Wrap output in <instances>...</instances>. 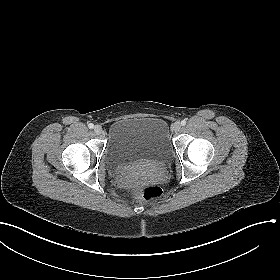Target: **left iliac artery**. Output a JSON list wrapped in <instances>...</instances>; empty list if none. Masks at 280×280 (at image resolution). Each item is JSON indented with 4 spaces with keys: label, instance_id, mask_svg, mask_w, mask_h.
Here are the masks:
<instances>
[{
    "label": "left iliac artery",
    "instance_id": "44dca946",
    "mask_svg": "<svg viewBox=\"0 0 280 280\" xmlns=\"http://www.w3.org/2000/svg\"><path fill=\"white\" fill-rule=\"evenodd\" d=\"M181 125H182V126L186 125V121H185V120H182V121H181Z\"/></svg>",
    "mask_w": 280,
    "mask_h": 280
}]
</instances>
